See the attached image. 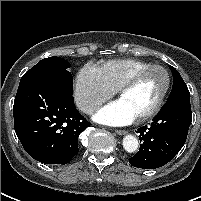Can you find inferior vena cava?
<instances>
[{
    "label": "inferior vena cava",
    "instance_id": "602c4592",
    "mask_svg": "<svg viewBox=\"0 0 201 201\" xmlns=\"http://www.w3.org/2000/svg\"><path fill=\"white\" fill-rule=\"evenodd\" d=\"M99 106L96 104H85L81 105L80 109L85 113H92L94 112Z\"/></svg>",
    "mask_w": 201,
    "mask_h": 201
}]
</instances>
